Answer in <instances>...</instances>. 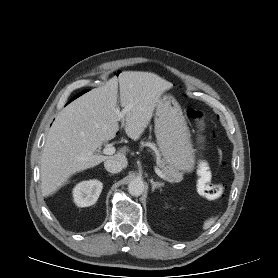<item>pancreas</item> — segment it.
<instances>
[{"label":"pancreas","mask_w":278,"mask_h":278,"mask_svg":"<svg viewBox=\"0 0 278 278\" xmlns=\"http://www.w3.org/2000/svg\"><path fill=\"white\" fill-rule=\"evenodd\" d=\"M140 147H150L155 155H156V161L157 164L159 165V167L161 168L162 173L172 182H180L183 179V173L180 172L179 170L166 165V162L164 159H161V155L158 151V149L156 148L155 144L151 143V142H146V141H141L140 142Z\"/></svg>","instance_id":"1"}]
</instances>
